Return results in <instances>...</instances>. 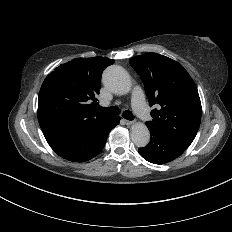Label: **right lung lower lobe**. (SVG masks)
<instances>
[{
    "label": "right lung lower lobe",
    "mask_w": 232,
    "mask_h": 232,
    "mask_svg": "<svg viewBox=\"0 0 232 232\" xmlns=\"http://www.w3.org/2000/svg\"><path fill=\"white\" fill-rule=\"evenodd\" d=\"M119 116H108L73 128L42 130L50 147L62 158L85 162L103 149L109 132L119 124Z\"/></svg>",
    "instance_id": "obj_1"
}]
</instances>
